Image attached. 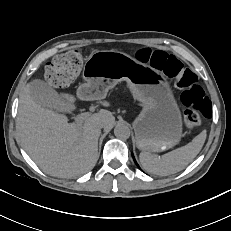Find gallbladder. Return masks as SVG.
Wrapping results in <instances>:
<instances>
[{"instance_id": "1", "label": "gallbladder", "mask_w": 231, "mask_h": 231, "mask_svg": "<svg viewBox=\"0 0 231 231\" xmlns=\"http://www.w3.org/2000/svg\"><path fill=\"white\" fill-rule=\"evenodd\" d=\"M30 95L43 108L62 110L68 106V103L42 80H33L30 83Z\"/></svg>"}]
</instances>
